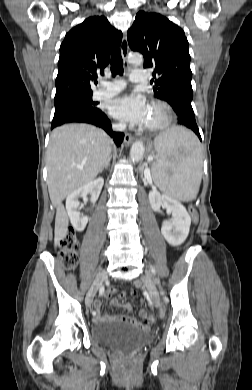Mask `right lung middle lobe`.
<instances>
[{"instance_id":"right-lung-middle-lobe-1","label":"right lung middle lobe","mask_w":252,"mask_h":390,"mask_svg":"<svg viewBox=\"0 0 252 390\" xmlns=\"http://www.w3.org/2000/svg\"><path fill=\"white\" fill-rule=\"evenodd\" d=\"M55 110L66 107H81L90 110H98L97 103L92 101V94L79 95L59 101H54Z\"/></svg>"}]
</instances>
